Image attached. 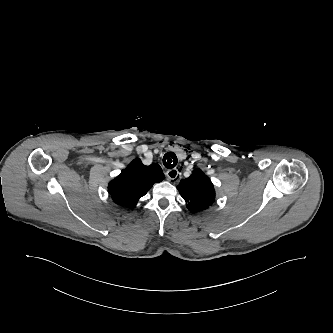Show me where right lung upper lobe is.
Instances as JSON below:
<instances>
[{
    "instance_id": "1",
    "label": "right lung upper lobe",
    "mask_w": 333,
    "mask_h": 333,
    "mask_svg": "<svg viewBox=\"0 0 333 333\" xmlns=\"http://www.w3.org/2000/svg\"><path fill=\"white\" fill-rule=\"evenodd\" d=\"M163 179L164 174L158 164L145 166L141 160L135 159L109 183L108 192L115 203L133 209L139 198L144 196L154 183Z\"/></svg>"
}]
</instances>
